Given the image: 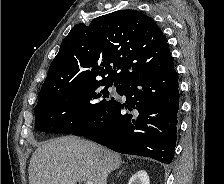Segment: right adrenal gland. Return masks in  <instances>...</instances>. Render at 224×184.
I'll use <instances>...</instances> for the list:
<instances>
[{"label":"right adrenal gland","instance_id":"2a0ac1e0","mask_svg":"<svg viewBox=\"0 0 224 184\" xmlns=\"http://www.w3.org/2000/svg\"><path fill=\"white\" fill-rule=\"evenodd\" d=\"M122 171H123V169L121 171H119V174L118 175H120L122 173Z\"/></svg>","mask_w":224,"mask_h":184}]
</instances>
